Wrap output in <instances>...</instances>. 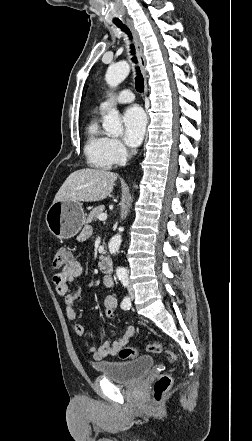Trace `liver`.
Masks as SVG:
<instances>
[{"mask_svg":"<svg viewBox=\"0 0 252 441\" xmlns=\"http://www.w3.org/2000/svg\"><path fill=\"white\" fill-rule=\"evenodd\" d=\"M117 174L103 169L84 168L71 173L55 195L54 201L97 202L113 191Z\"/></svg>","mask_w":252,"mask_h":441,"instance_id":"6515ba94","label":"liver"}]
</instances>
